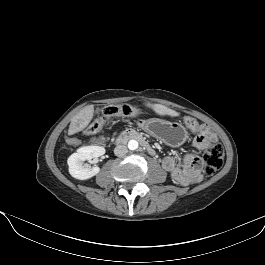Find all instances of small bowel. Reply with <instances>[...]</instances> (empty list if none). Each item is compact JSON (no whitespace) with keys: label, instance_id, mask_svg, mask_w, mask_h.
<instances>
[{"label":"small bowel","instance_id":"small-bowel-1","mask_svg":"<svg viewBox=\"0 0 265 265\" xmlns=\"http://www.w3.org/2000/svg\"><path fill=\"white\" fill-rule=\"evenodd\" d=\"M199 130L191 129L197 135L193 140V145L199 149L215 144L218 141L217 135L206 125L200 124ZM162 167L169 172L172 179L179 185L188 186L198 183L203 179L200 159L195 154H186L182 158L181 165H177L172 157H166L162 161Z\"/></svg>","mask_w":265,"mask_h":265}]
</instances>
